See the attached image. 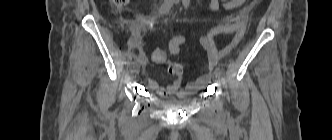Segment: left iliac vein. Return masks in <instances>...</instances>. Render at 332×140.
<instances>
[{
	"instance_id": "1",
	"label": "left iliac vein",
	"mask_w": 332,
	"mask_h": 140,
	"mask_svg": "<svg viewBox=\"0 0 332 140\" xmlns=\"http://www.w3.org/2000/svg\"><path fill=\"white\" fill-rule=\"evenodd\" d=\"M214 78H215V80H217V81H219V79H220V74H219L218 72H216V71H215V73H214Z\"/></svg>"
}]
</instances>
